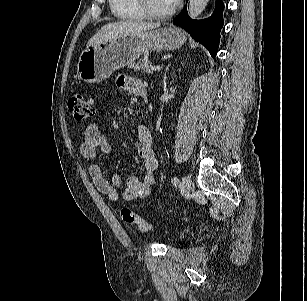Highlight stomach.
<instances>
[{"label":"stomach","mask_w":307,"mask_h":301,"mask_svg":"<svg viewBox=\"0 0 307 301\" xmlns=\"http://www.w3.org/2000/svg\"><path fill=\"white\" fill-rule=\"evenodd\" d=\"M185 41L184 33L171 27L121 35L87 47L79 57L77 74L86 83H99L115 70L133 64L143 53L177 49Z\"/></svg>","instance_id":"1"}]
</instances>
